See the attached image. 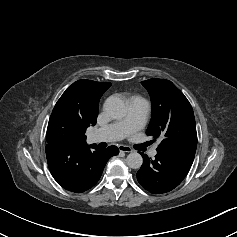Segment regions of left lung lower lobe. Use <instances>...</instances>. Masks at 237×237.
Instances as JSON below:
<instances>
[{
  "label": "left lung lower lobe",
  "mask_w": 237,
  "mask_h": 237,
  "mask_svg": "<svg viewBox=\"0 0 237 237\" xmlns=\"http://www.w3.org/2000/svg\"><path fill=\"white\" fill-rule=\"evenodd\" d=\"M143 165L137 172L138 182L154 194L166 193L177 187L187 175L193 161L157 153L154 160L141 153Z\"/></svg>",
  "instance_id": "1"
}]
</instances>
